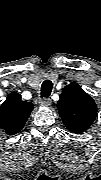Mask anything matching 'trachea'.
Segmentation results:
<instances>
[{
	"instance_id": "3493384b",
	"label": "trachea",
	"mask_w": 101,
	"mask_h": 180,
	"mask_svg": "<svg viewBox=\"0 0 101 180\" xmlns=\"http://www.w3.org/2000/svg\"><path fill=\"white\" fill-rule=\"evenodd\" d=\"M53 83L50 80H45L41 85V98H47L52 92Z\"/></svg>"
}]
</instances>
